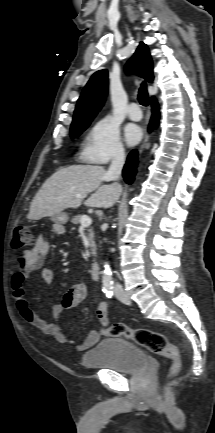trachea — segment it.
Here are the masks:
<instances>
[{"label": "trachea", "instance_id": "obj_1", "mask_svg": "<svg viewBox=\"0 0 215 433\" xmlns=\"http://www.w3.org/2000/svg\"><path fill=\"white\" fill-rule=\"evenodd\" d=\"M138 100H139V102H140L141 105L148 106V103H149V101H148V92H147V86H146L145 82H143L141 84V87L139 89Z\"/></svg>", "mask_w": 215, "mask_h": 433}]
</instances>
